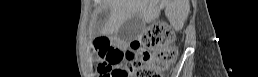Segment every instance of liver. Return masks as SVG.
Listing matches in <instances>:
<instances>
[{"label":"liver","instance_id":"1","mask_svg":"<svg viewBox=\"0 0 258 77\" xmlns=\"http://www.w3.org/2000/svg\"><path fill=\"white\" fill-rule=\"evenodd\" d=\"M110 8L109 21L105 26L107 33L116 32L120 26L129 18L139 15L143 23H150L156 20L161 9H171L167 16L171 23L184 22L189 9V0H109ZM175 10L172 15L171 11Z\"/></svg>","mask_w":258,"mask_h":77}]
</instances>
